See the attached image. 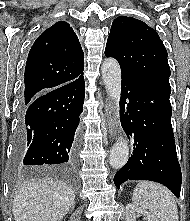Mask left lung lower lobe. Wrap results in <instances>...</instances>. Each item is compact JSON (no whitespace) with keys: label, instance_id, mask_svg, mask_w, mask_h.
Returning a JSON list of instances; mask_svg holds the SVG:
<instances>
[{"label":"left lung lower lobe","instance_id":"left-lung-lower-lobe-1","mask_svg":"<svg viewBox=\"0 0 190 221\" xmlns=\"http://www.w3.org/2000/svg\"><path fill=\"white\" fill-rule=\"evenodd\" d=\"M121 91V123L134 147L131 158L114 176L116 187L127 180H151L179 197L182 174L171 125V90L122 77Z\"/></svg>","mask_w":190,"mask_h":221}]
</instances>
